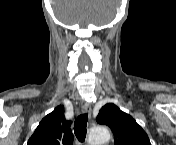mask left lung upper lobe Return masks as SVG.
Masks as SVG:
<instances>
[{
  "mask_svg": "<svg viewBox=\"0 0 176 145\" xmlns=\"http://www.w3.org/2000/svg\"><path fill=\"white\" fill-rule=\"evenodd\" d=\"M97 122L112 129L115 145H151L147 134L136 121L112 103L100 110Z\"/></svg>",
  "mask_w": 176,
  "mask_h": 145,
  "instance_id": "left-lung-upper-lobe-1",
  "label": "left lung upper lobe"
}]
</instances>
